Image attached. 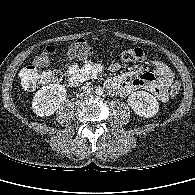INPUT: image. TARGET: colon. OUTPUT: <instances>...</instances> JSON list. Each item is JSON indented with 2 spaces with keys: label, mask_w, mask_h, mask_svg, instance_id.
<instances>
[{
  "label": "colon",
  "mask_w": 195,
  "mask_h": 195,
  "mask_svg": "<svg viewBox=\"0 0 195 195\" xmlns=\"http://www.w3.org/2000/svg\"><path fill=\"white\" fill-rule=\"evenodd\" d=\"M55 52L53 46H48L46 49L35 57L33 64L26 66L20 72L22 86L27 90H33L40 85L50 82H58L62 79L60 71H40V68L46 67L50 62V56ZM68 54L77 59H86L92 54V47L84 40L79 39L72 44L68 49ZM148 52L142 48H129L121 52V58L125 62H137L147 58ZM179 82H174L170 93L172 97H177L180 94Z\"/></svg>",
  "instance_id": "obj_1"
}]
</instances>
